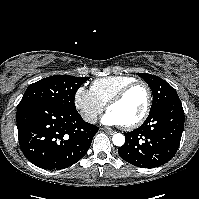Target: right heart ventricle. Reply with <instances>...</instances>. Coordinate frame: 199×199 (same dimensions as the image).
Returning a JSON list of instances; mask_svg holds the SVG:
<instances>
[{"label": "right heart ventricle", "instance_id": "1", "mask_svg": "<svg viewBox=\"0 0 199 199\" xmlns=\"http://www.w3.org/2000/svg\"><path fill=\"white\" fill-rule=\"evenodd\" d=\"M135 81L129 76H110L92 82L90 91L103 104L106 105L123 87Z\"/></svg>", "mask_w": 199, "mask_h": 199}]
</instances>
